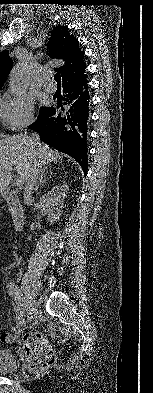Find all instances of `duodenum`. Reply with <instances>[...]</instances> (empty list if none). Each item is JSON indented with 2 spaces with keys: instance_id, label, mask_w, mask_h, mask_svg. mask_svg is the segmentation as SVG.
I'll return each mask as SVG.
<instances>
[{
  "instance_id": "obj_1",
  "label": "duodenum",
  "mask_w": 153,
  "mask_h": 393,
  "mask_svg": "<svg viewBox=\"0 0 153 393\" xmlns=\"http://www.w3.org/2000/svg\"><path fill=\"white\" fill-rule=\"evenodd\" d=\"M6 199L8 200V202L10 203L12 209H11V218H12V222L15 226L16 229H18L21 226V222L23 219V213L19 208V203L17 198L11 193L8 192L6 194Z\"/></svg>"
}]
</instances>
